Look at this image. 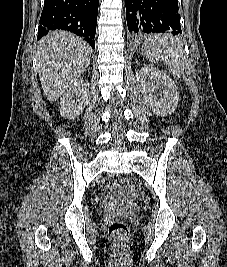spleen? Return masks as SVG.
<instances>
[{
  "mask_svg": "<svg viewBox=\"0 0 227 267\" xmlns=\"http://www.w3.org/2000/svg\"><path fill=\"white\" fill-rule=\"evenodd\" d=\"M142 48L150 61L162 59L174 76L181 77L184 72L185 58L180 40L171 35H162L146 41Z\"/></svg>",
  "mask_w": 227,
  "mask_h": 267,
  "instance_id": "spleen-1",
  "label": "spleen"
}]
</instances>
